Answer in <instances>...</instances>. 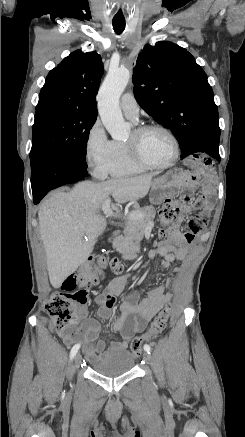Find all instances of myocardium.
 <instances>
[{
	"mask_svg": "<svg viewBox=\"0 0 245 437\" xmlns=\"http://www.w3.org/2000/svg\"><path fill=\"white\" fill-rule=\"evenodd\" d=\"M149 130H159L161 132H163L172 142L173 145V149H174V153L172 158L163 164H156V163H152L149 161H146L139 153L138 148H137V144H136V140L137 138L142 135L143 133L149 131ZM133 138L130 141H126L125 142V147L127 150V153L129 155V157L138 165L148 168V169H166L169 168L171 166H173L180 155V145L178 142V139L176 138V136L174 135V133L168 129L167 127L160 125V124H144V125H140L137 126L136 128L133 129Z\"/></svg>",
	"mask_w": 245,
	"mask_h": 437,
	"instance_id": "myocardium-1",
	"label": "myocardium"
}]
</instances>
